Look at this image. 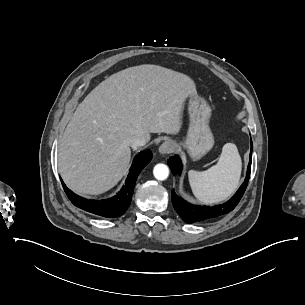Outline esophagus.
Listing matches in <instances>:
<instances>
[{
    "instance_id": "1",
    "label": "esophagus",
    "mask_w": 305,
    "mask_h": 305,
    "mask_svg": "<svg viewBox=\"0 0 305 305\" xmlns=\"http://www.w3.org/2000/svg\"><path fill=\"white\" fill-rule=\"evenodd\" d=\"M174 149V146L171 142L165 141L162 143L159 147V153L160 154H166V153H171Z\"/></svg>"
}]
</instances>
